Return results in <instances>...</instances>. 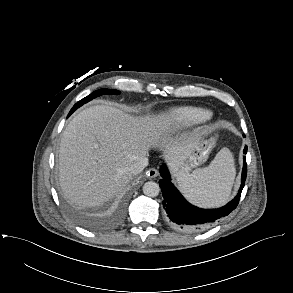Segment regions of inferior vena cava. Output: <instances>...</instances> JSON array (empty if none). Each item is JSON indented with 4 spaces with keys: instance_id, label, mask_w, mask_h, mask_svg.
<instances>
[{
    "instance_id": "inferior-vena-cava-1",
    "label": "inferior vena cava",
    "mask_w": 293,
    "mask_h": 293,
    "mask_svg": "<svg viewBox=\"0 0 293 293\" xmlns=\"http://www.w3.org/2000/svg\"><path fill=\"white\" fill-rule=\"evenodd\" d=\"M148 165V158L142 157L138 161L134 162L129 170L133 175L139 174L143 171V169Z\"/></svg>"
}]
</instances>
